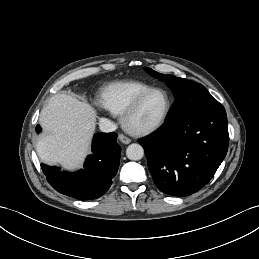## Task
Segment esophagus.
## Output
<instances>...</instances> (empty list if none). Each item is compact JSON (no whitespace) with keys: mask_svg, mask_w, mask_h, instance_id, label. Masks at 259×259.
Returning <instances> with one entry per match:
<instances>
[{"mask_svg":"<svg viewBox=\"0 0 259 259\" xmlns=\"http://www.w3.org/2000/svg\"><path fill=\"white\" fill-rule=\"evenodd\" d=\"M119 140L123 143V144H129L131 142V139L128 138L127 136L120 134L119 135Z\"/></svg>","mask_w":259,"mask_h":259,"instance_id":"obj_1","label":"esophagus"}]
</instances>
